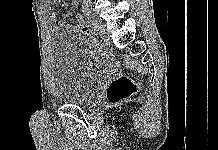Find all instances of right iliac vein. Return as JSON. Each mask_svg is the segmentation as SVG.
<instances>
[{"instance_id": "right-iliac-vein-1", "label": "right iliac vein", "mask_w": 218, "mask_h": 150, "mask_svg": "<svg viewBox=\"0 0 218 150\" xmlns=\"http://www.w3.org/2000/svg\"><path fill=\"white\" fill-rule=\"evenodd\" d=\"M84 13H85V15H87L88 17L91 18V20L94 23V27H95L96 31L101 35L105 34V25H104L103 21L101 19L97 18L92 13V11L87 9V8L84 9Z\"/></svg>"}]
</instances>
